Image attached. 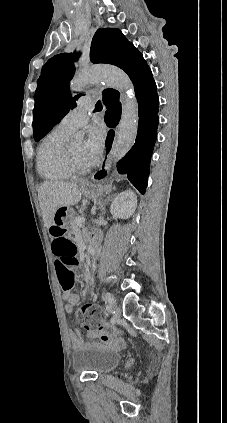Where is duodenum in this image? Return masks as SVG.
Masks as SVG:
<instances>
[{
  "label": "duodenum",
  "mask_w": 227,
  "mask_h": 423,
  "mask_svg": "<svg viewBox=\"0 0 227 423\" xmlns=\"http://www.w3.org/2000/svg\"><path fill=\"white\" fill-rule=\"evenodd\" d=\"M96 250H97V244H93L87 248L83 247V252H84L83 255L85 258H90L95 254Z\"/></svg>",
  "instance_id": "410a0bca"
}]
</instances>
